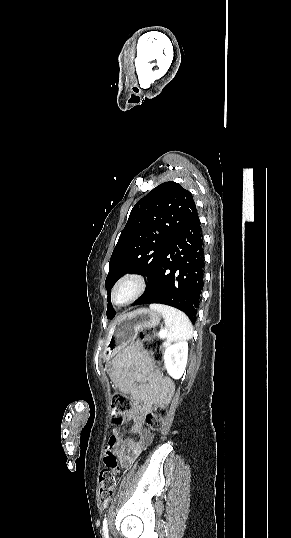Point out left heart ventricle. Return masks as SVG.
Returning <instances> with one entry per match:
<instances>
[{
	"instance_id": "1",
	"label": "left heart ventricle",
	"mask_w": 291,
	"mask_h": 538,
	"mask_svg": "<svg viewBox=\"0 0 291 538\" xmlns=\"http://www.w3.org/2000/svg\"><path fill=\"white\" fill-rule=\"evenodd\" d=\"M129 292H130V288H128V287L122 288L117 294V300L118 301L124 300L127 297V295L129 294Z\"/></svg>"
}]
</instances>
